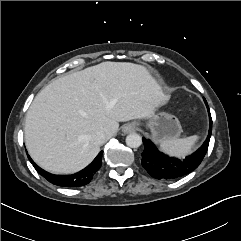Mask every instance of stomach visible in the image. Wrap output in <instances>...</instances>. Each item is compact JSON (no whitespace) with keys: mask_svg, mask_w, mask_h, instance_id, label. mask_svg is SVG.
I'll return each instance as SVG.
<instances>
[{"mask_svg":"<svg viewBox=\"0 0 241 241\" xmlns=\"http://www.w3.org/2000/svg\"><path fill=\"white\" fill-rule=\"evenodd\" d=\"M151 137L155 142L177 139L182 132L181 124L177 117L166 112L153 114L148 120Z\"/></svg>","mask_w":241,"mask_h":241,"instance_id":"obj_1","label":"stomach"}]
</instances>
